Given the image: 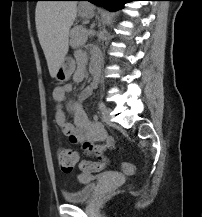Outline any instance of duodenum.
Listing matches in <instances>:
<instances>
[{
  "label": "duodenum",
  "instance_id": "1",
  "mask_svg": "<svg viewBox=\"0 0 202 217\" xmlns=\"http://www.w3.org/2000/svg\"><path fill=\"white\" fill-rule=\"evenodd\" d=\"M93 82H97L99 79V66L92 64Z\"/></svg>",
  "mask_w": 202,
  "mask_h": 217
}]
</instances>
